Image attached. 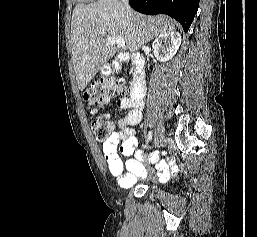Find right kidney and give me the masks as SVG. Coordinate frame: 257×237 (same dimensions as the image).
<instances>
[{"instance_id": "right-kidney-1", "label": "right kidney", "mask_w": 257, "mask_h": 237, "mask_svg": "<svg viewBox=\"0 0 257 237\" xmlns=\"http://www.w3.org/2000/svg\"><path fill=\"white\" fill-rule=\"evenodd\" d=\"M181 35L176 31L166 32L157 37L153 44V52L161 62L169 61L177 53L181 45Z\"/></svg>"}]
</instances>
